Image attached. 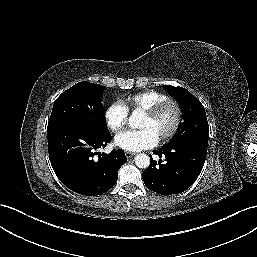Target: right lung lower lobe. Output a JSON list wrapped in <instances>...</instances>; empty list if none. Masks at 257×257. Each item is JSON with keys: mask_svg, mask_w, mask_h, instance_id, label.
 I'll list each match as a JSON object with an SVG mask.
<instances>
[{"mask_svg": "<svg viewBox=\"0 0 257 257\" xmlns=\"http://www.w3.org/2000/svg\"><path fill=\"white\" fill-rule=\"evenodd\" d=\"M47 139L50 162L58 179L81 195L96 196L111 189L118 170L127 161L121 149L109 154L95 152L110 142V133H98L79 122L48 125Z\"/></svg>", "mask_w": 257, "mask_h": 257, "instance_id": "98d812e1", "label": "right lung lower lobe"}]
</instances>
